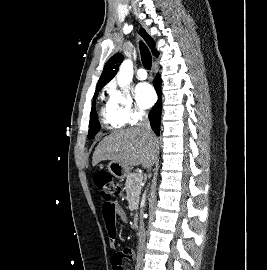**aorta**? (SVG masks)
<instances>
[{
  "label": "aorta",
  "instance_id": "762f6f07",
  "mask_svg": "<svg viewBox=\"0 0 267 270\" xmlns=\"http://www.w3.org/2000/svg\"><path fill=\"white\" fill-rule=\"evenodd\" d=\"M133 78V63L131 60H125L120 66L117 83L121 88L127 86Z\"/></svg>",
  "mask_w": 267,
  "mask_h": 270
}]
</instances>
